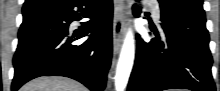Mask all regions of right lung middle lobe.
Masks as SVG:
<instances>
[{"label":"right lung middle lobe","mask_w":220,"mask_h":91,"mask_svg":"<svg viewBox=\"0 0 220 91\" xmlns=\"http://www.w3.org/2000/svg\"><path fill=\"white\" fill-rule=\"evenodd\" d=\"M37 4V1H34V0H30L26 5L31 7L33 5Z\"/></svg>","instance_id":"right-lung-middle-lobe-1"}]
</instances>
